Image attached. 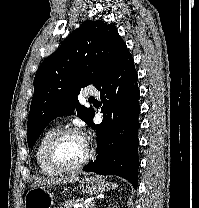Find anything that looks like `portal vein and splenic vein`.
<instances>
[{"mask_svg":"<svg viewBox=\"0 0 199 208\" xmlns=\"http://www.w3.org/2000/svg\"><path fill=\"white\" fill-rule=\"evenodd\" d=\"M92 206H94L93 203H87V204H81V205H77L76 207H82V208H91Z\"/></svg>","mask_w":199,"mask_h":208,"instance_id":"18ae733b","label":"portal vein and splenic vein"}]
</instances>
